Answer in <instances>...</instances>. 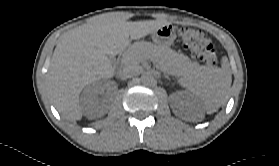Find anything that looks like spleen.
I'll use <instances>...</instances> for the list:
<instances>
[{
  "label": "spleen",
  "mask_w": 279,
  "mask_h": 166,
  "mask_svg": "<svg viewBox=\"0 0 279 166\" xmlns=\"http://www.w3.org/2000/svg\"><path fill=\"white\" fill-rule=\"evenodd\" d=\"M231 82L226 58L221 68L199 66L179 79V84L198 98L208 113L217 111L228 100Z\"/></svg>",
  "instance_id": "3e777b00"
}]
</instances>
